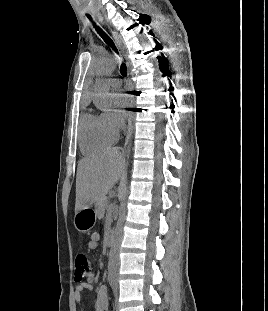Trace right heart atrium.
<instances>
[{"mask_svg": "<svg viewBox=\"0 0 268 311\" xmlns=\"http://www.w3.org/2000/svg\"><path fill=\"white\" fill-rule=\"evenodd\" d=\"M108 126L113 129L115 132L118 133V131L122 127V121L117 116V114L113 111H107L103 114Z\"/></svg>", "mask_w": 268, "mask_h": 311, "instance_id": "1", "label": "right heart atrium"}]
</instances>
